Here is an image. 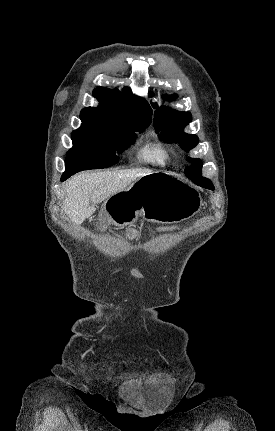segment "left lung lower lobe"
<instances>
[{
	"label": "left lung lower lobe",
	"mask_w": 275,
	"mask_h": 431,
	"mask_svg": "<svg viewBox=\"0 0 275 431\" xmlns=\"http://www.w3.org/2000/svg\"><path fill=\"white\" fill-rule=\"evenodd\" d=\"M189 179H191L195 184L207 188V189H211L214 190V186L211 182V180L204 178L203 176L197 175V176H193V175H186Z\"/></svg>",
	"instance_id": "left-lung-lower-lobe-1"
}]
</instances>
